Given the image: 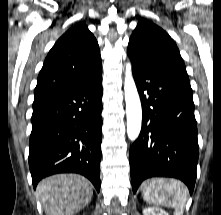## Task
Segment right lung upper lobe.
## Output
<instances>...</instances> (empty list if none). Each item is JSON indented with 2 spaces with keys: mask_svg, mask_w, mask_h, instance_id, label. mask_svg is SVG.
Returning a JSON list of instances; mask_svg holds the SVG:
<instances>
[{
  "mask_svg": "<svg viewBox=\"0 0 221 215\" xmlns=\"http://www.w3.org/2000/svg\"><path fill=\"white\" fill-rule=\"evenodd\" d=\"M101 73L97 40L85 23H78L49 51L38 76L33 105L84 84Z\"/></svg>",
  "mask_w": 221,
  "mask_h": 215,
  "instance_id": "cb5924a9",
  "label": "right lung upper lobe"
}]
</instances>
